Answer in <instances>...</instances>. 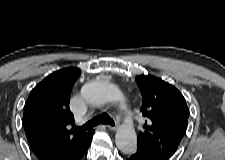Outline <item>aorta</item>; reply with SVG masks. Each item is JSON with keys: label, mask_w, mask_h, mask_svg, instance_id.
<instances>
[{"label": "aorta", "mask_w": 225, "mask_h": 160, "mask_svg": "<svg viewBox=\"0 0 225 160\" xmlns=\"http://www.w3.org/2000/svg\"><path fill=\"white\" fill-rule=\"evenodd\" d=\"M81 92L85 100L92 105L117 101L121 96L115 85L105 81L87 83ZM115 142L121 152L133 153L137 148V135L134 128L130 125L121 126L116 132Z\"/></svg>", "instance_id": "762f6f07"}]
</instances>
